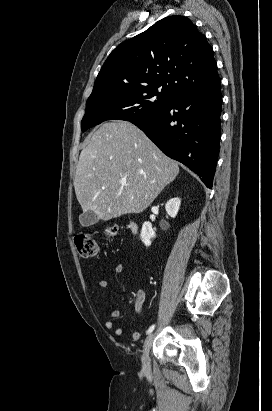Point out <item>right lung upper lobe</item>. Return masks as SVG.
<instances>
[{
    "mask_svg": "<svg viewBox=\"0 0 272 411\" xmlns=\"http://www.w3.org/2000/svg\"><path fill=\"white\" fill-rule=\"evenodd\" d=\"M218 79L206 37L188 18L169 16L113 50L92 92L140 86L164 88L175 96Z\"/></svg>",
    "mask_w": 272,
    "mask_h": 411,
    "instance_id": "obj_1",
    "label": "right lung upper lobe"
}]
</instances>
